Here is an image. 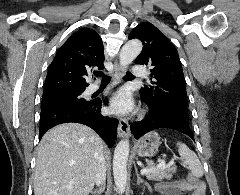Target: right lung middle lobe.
I'll list each match as a JSON object with an SVG mask.
<instances>
[{
	"mask_svg": "<svg viewBox=\"0 0 240 195\" xmlns=\"http://www.w3.org/2000/svg\"><path fill=\"white\" fill-rule=\"evenodd\" d=\"M84 90L77 91H63L52 94L43 95L42 97V108L56 104V103H86L87 100L82 98V93Z\"/></svg>",
	"mask_w": 240,
	"mask_h": 195,
	"instance_id": "1",
	"label": "right lung middle lobe"
}]
</instances>
